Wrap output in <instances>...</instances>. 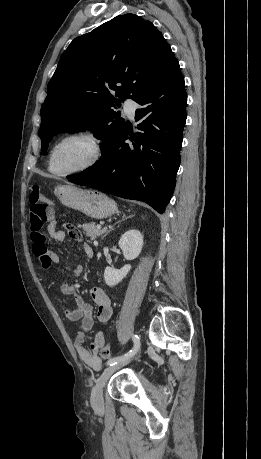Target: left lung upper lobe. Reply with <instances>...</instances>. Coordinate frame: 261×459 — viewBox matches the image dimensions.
Segmentation results:
<instances>
[{"label": "left lung upper lobe", "mask_w": 261, "mask_h": 459, "mask_svg": "<svg viewBox=\"0 0 261 459\" xmlns=\"http://www.w3.org/2000/svg\"><path fill=\"white\" fill-rule=\"evenodd\" d=\"M175 61L161 32L134 14L75 38L61 55L41 108L42 153L54 135L88 129L103 141L104 158L126 127L113 109L126 98L136 101Z\"/></svg>", "instance_id": "1"}]
</instances>
